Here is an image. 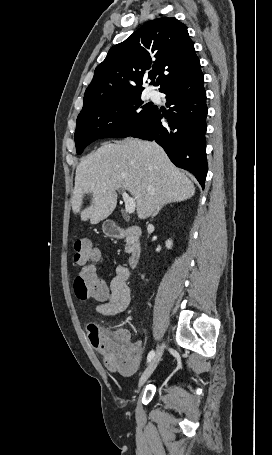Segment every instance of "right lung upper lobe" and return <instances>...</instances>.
Returning <instances> with one entry per match:
<instances>
[{
  "instance_id": "1",
  "label": "right lung upper lobe",
  "mask_w": 272,
  "mask_h": 455,
  "mask_svg": "<svg viewBox=\"0 0 272 455\" xmlns=\"http://www.w3.org/2000/svg\"><path fill=\"white\" fill-rule=\"evenodd\" d=\"M201 71L187 27L174 17L146 22L124 42L113 46L96 67L80 113L141 94L147 80L162 92Z\"/></svg>"
}]
</instances>
